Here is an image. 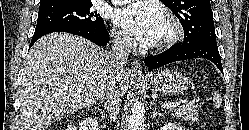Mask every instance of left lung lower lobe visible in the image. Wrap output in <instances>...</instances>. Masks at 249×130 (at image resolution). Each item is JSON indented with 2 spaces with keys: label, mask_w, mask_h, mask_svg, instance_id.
Segmentation results:
<instances>
[{
  "label": "left lung lower lobe",
  "mask_w": 249,
  "mask_h": 130,
  "mask_svg": "<svg viewBox=\"0 0 249 130\" xmlns=\"http://www.w3.org/2000/svg\"><path fill=\"white\" fill-rule=\"evenodd\" d=\"M193 58L208 59L213 62L221 72H223L217 43L207 41H196L174 45L157 56L145 58V64L148 67V71H151L171 62Z\"/></svg>",
  "instance_id": "1"
}]
</instances>
